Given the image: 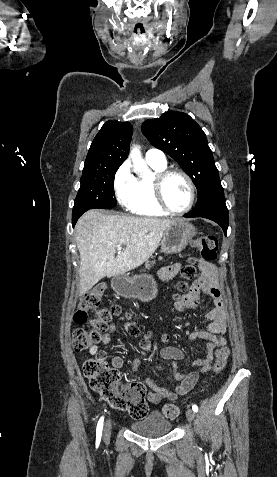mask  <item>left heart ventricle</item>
Wrapping results in <instances>:
<instances>
[{
  "label": "left heart ventricle",
  "instance_id": "obj_1",
  "mask_svg": "<svg viewBox=\"0 0 277 477\" xmlns=\"http://www.w3.org/2000/svg\"><path fill=\"white\" fill-rule=\"evenodd\" d=\"M164 197L168 206L175 211L186 207L190 197L187 181L180 175H173L164 185Z\"/></svg>",
  "mask_w": 277,
  "mask_h": 477
}]
</instances>
